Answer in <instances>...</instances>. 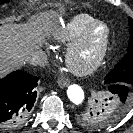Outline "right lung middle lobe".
<instances>
[{
    "label": "right lung middle lobe",
    "instance_id": "right-lung-middle-lobe-1",
    "mask_svg": "<svg viewBox=\"0 0 133 133\" xmlns=\"http://www.w3.org/2000/svg\"><path fill=\"white\" fill-rule=\"evenodd\" d=\"M3 2L6 3V2H9V0H0V4Z\"/></svg>",
    "mask_w": 133,
    "mask_h": 133
}]
</instances>
